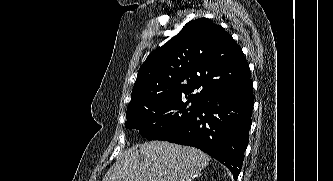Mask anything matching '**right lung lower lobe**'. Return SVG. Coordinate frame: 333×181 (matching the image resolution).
I'll list each match as a JSON object with an SVG mask.
<instances>
[{
    "mask_svg": "<svg viewBox=\"0 0 333 181\" xmlns=\"http://www.w3.org/2000/svg\"><path fill=\"white\" fill-rule=\"evenodd\" d=\"M253 104L251 79L214 91L200 100L195 115L167 141L201 149L224 164L236 180L248 145Z\"/></svg>",
    "mask_w": 333,
    "mask_h": 181,
    "instance_id": "98d812e1",
    "label": "right lung lower lobe"
}]
</instances>
